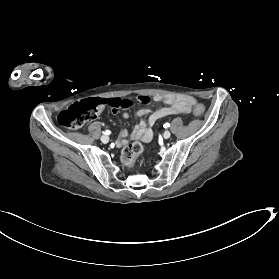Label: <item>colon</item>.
<instances>
[{
  "label": "colon",
  "mask_w": 279,
  "mask_h": 279,
  "mask_svg": "<svg viewBox=\"0 0 279 279\" xmlns=\"http://www.w3.org/2000/svg\"><path fill=\"white\" fill-rule=\"evenodd\" d=\"M151 102L148 96H137L135 98H95L87 99L79 103H75L58 115V121L65 127L77 129L82 127L86 122L93 120L107 106L114 109L130 108L135 104L146 105ZM204 107L196 104L193 109L195 116L200 117L204 113ZM143 151L140 143L135 142L127 146L121 156V160L125 166H131L137 156Z\"/></svg>",
  "instance_id": "1"
}]
</instances>
